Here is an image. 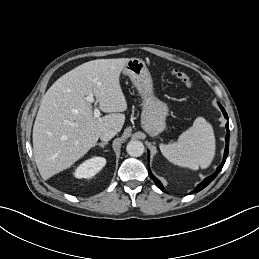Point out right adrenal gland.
Wrapping results in <instances>:
<instances>
[{
	"mask_svg": "<svg viewBox=\"0 0 259 259\" xmlns=\"http://www.w3.org/2000/svg\"><path fill=\"white\" fill-rule=\"evenodd\" d=\"M107 144H108V142H101V143H97V144H95V145H98V146H100L101 148H104V146L107 145Z\"/></svg>",
	"mask_w": 259,
	"mask_h": 259,
	"instance_id": "obj_1",
	"label": "right adrenal gland"
}]
</instances>
